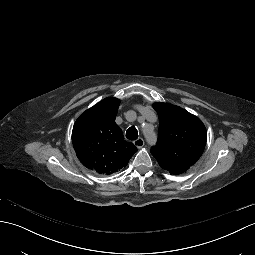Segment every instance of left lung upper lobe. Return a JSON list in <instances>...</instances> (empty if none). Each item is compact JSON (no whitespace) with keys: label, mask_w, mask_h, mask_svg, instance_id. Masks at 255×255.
<instances>
[{"label":"left lung upper lobe","mask_w":255,"mask_h":255,"mask_svg":"<svg viewBox=\"0 0 255 255\" xmlns=\"http://www.w3.org/2000/svg\"><path fill=\"white\" fill-rule=\"evenodd\" d=\"M153 108L159 115V135L151 153L171 174L184 173L204 151L206 128L198 117L178 106L155 103Z\"/></svg>","instance_id":"5c2ea615"}]
</instances>
